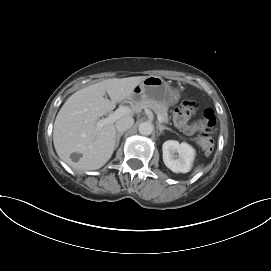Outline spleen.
Here are the masks:
<instances>
[{"mask_svg": "<svg viewBox=\"0 0 271 271\" xmlns=\"http://www.w3.org/2000/svg\"><path fill=\"white\" fill-rule=\"evenodd\" d=\"M200 171H201V167H197V168L195 169L194 173H198V172H200Z\"/></svg>", "mask_w": 271, "mask_h": 271, "instance_id": "3e777b00", "label": "spleen"}]
</instances>
